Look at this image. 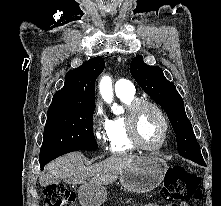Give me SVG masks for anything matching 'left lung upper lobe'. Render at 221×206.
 Returning <instances> with one entry per match:
<instances>
[{
	"instance_id": "obj_1",
	"label": "left lung upper lobe",
	"mask_w": 221,
	"mask_h": 206,
	"mask_svg": "<svg viewBox=\"0 0 221 206\" xmlns=\"http://www.w3.org/2000/svg\"><path fill=\"white\" fill-rule=\"evenodd\" d=\"M130 71L139 86L166 110L176 134L179 154L192 161L202 160L192 125L185 113L184 102L174 84L164 77L162 69L147 65L142 55H137L130 64Z\"/></svg>"
}]
</instances>
